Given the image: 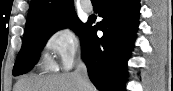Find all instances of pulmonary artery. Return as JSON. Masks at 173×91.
<instances>
[{
	"mask_svg": "<svg viewBox=\"0 0 173 91\" xmlns=\"http://www.w3.org/2000/svg\"><path fill=\"white\" fill-rule=\"evenodd\" d=\"M82 8L85 12H88V13L93 11V6L90 1H83Z\"/></svg>",
	"mask_w": 173,
	"mask_h": 91,
	"instance_id": "pulmonary-artery-1",
	"label": "pulmonary artery"
}]
</instances>
